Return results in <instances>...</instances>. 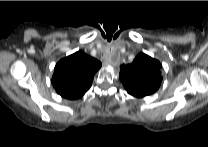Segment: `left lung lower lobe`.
I'll list each match as a JSON object with an SVG mask.
<instances>
[{"label":"left lung lower lobe","instance_id":"left-lung-lower-lobe-1","mask_svg":"<svg viewBox=\"0 0 208 147\" xmlns=\"http://www.w3.org/2000/svg\"><path fill=\"white\" fill-rule=\"evenodd\" d=\"M135 97H143V96H140V95H135Z\"/></svg>","mask_w":208,"mask_h":147}]
</instances>
